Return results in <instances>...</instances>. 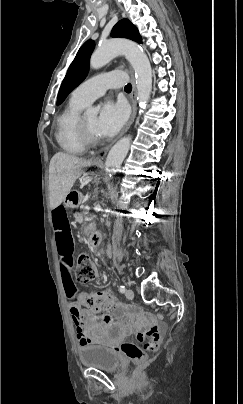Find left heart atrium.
<instances>
[{
  "label": "left heart atrium",
  "instance_id": "obj_1",
  "mask_svg": "<svg viewBox=\"0 0 243 404\" xmlns=\"http://www.w3.org/2000/svg\"><path fill=\"white\" fill-rule=\"evenodd\" d=\"M126 119L123 106L112 100H106L96 119L95 135L99 138L107 139L115 135Z\"/></svg>",
  "mask_w": 243,
  "mask_h": 404
}]
</instances>
